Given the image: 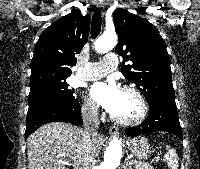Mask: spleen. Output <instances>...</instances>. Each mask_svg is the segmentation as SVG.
<instances>
[{"label":"spleen","mask_w":200,"mask_h":169,"mask_svg":"<svg viewBox=\"0 0 200 169\" xmlns=\"http://www.w3.org/2000/svg\"><path fill=\"white\" fill-rule=\"evenodd\" d=\"M165 159L167 160V165L169 169H178V157L175 149L167 146Z\"/></svg>","instance_id":"1"}]
</instances>
